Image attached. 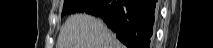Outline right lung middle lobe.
<instances>
[{"label": "right lung middle lobe", "instance_id": "1", "mask_svg": "<svg viewBox=\"0 0 213 48\" xmlns=\"http://www.w3.org/2000/svg\"><path fill=\"white\" fill-rule=\"evenodd\" d=\"M91 0H65L63 5L62 16L83 12Z\"/></svg>", "mask_w": 213, "mask_h": 48}]
</instances>
